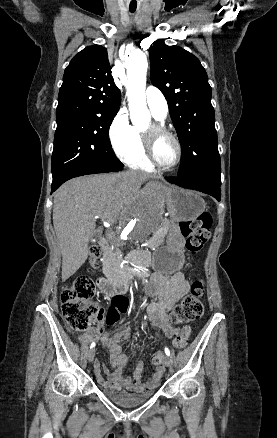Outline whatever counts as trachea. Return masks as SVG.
Returning a JSON list of instances; mask_svg holds the SVG:
<instances>
[{
	"mask_svg": "<svg viewBox=\"0 0 277 438\" xmlns=\"http://www.w3.org/2000/svg\"><path fill=\"white\" fill-rule=\"evenodd\" d=\"M129 10H130V12H135L136 7L135 8H130Z\"/></svg>",
	"mask_w": 277,
	"mask_h": 438,
	"instance_id": "trachea-1",
	"label": "trachea"
}]
</instances>
